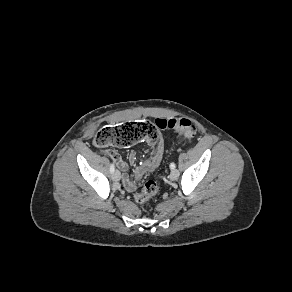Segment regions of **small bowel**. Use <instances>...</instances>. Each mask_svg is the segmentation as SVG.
Instances as JSON below:
<instances>
[{
	"instance_id": "obj_1",
	"label": "small bowel",
	"mask_w": 292,
	"mask_h": 292,
	"mask_svg": "<svg viewBox=\"0 0 292 292\" xmlns=\"http://www.w3.org/2000/svg\"><path fill=\"white\" fill-rule=\"evenodd\" d=\"M149 144L154 146L152 156L141 162L139 165L136 166L134 170V178L139 180L144 175L153 172L161 163L163 153H164V142L159 137L156 141H148ZM105 153L116 163L117 167L123 172L122 174V184L124 188L129 191L133 192L136 190V183L129 177L128 174L125 172L128 169V163L124 161L120 155L115 152L114 150H106ZM137 160V155L135 152L130 153L129 155V162L134 164Z\"/></svg>"
}]
</instances>
